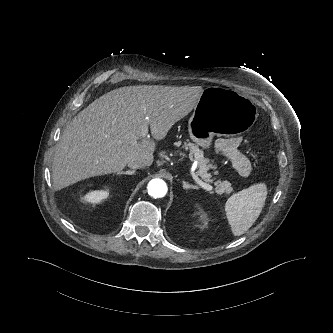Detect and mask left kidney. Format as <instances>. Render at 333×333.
<instances>
[{"instance_id": "1", "label": "left kidney", "mask_w": 333, "mask_h": 333, "mask_svg": "<svg viewBox=\"0 0 333 333\" xmlns=\"http://www.w3.org/2000/svg\"><path fill=\"white\" fill-rule=\"evenodd\" d=\"M201 219H204V215H200Z\"/></svg>"}]
</instances>
